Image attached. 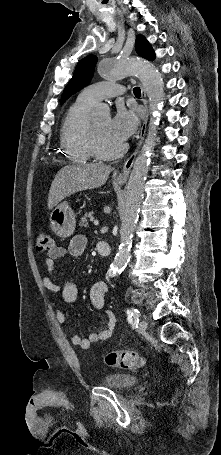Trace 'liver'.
I'll use <instances>...</instances> for the list:
<instances>
[{
    "label": "liver",
    "instance_id": "obj_1",
    "mask_svg": "<svg viewBox=\"0 0 221 455\" xmlns=\"http://www.w3.org/2000/svg\"><path fill=\"white\" fill-rule=\"evenodd\" d=\"M111 167L103 163L72 164L56 174L48 194V209L79 191L101 187L106 183Z\"/></svg>",
    "mask_w": 221,
    "mask_h": 455
}]
</instances>
